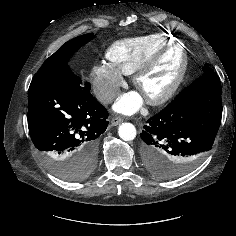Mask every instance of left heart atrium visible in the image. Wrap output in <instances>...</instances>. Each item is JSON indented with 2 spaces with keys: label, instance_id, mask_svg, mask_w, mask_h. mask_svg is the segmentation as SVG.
Segmentation results:
<instances>
[{
  "label": "left heart atrium",
  "instance_id": "obj_1",
  "mask_svg": "<svg viewBox=\"0 0 236 236\" xmlns=\"http://www.w3.org/2000/svg\"><path fill=\"white\" fill-rule=\"evenodd\" d=\"M142 104V97L136 92H130L121 96L114 109L123 114H132L136 112Z\"/></svg>",
  "mask_w": 236,
  "mask_h": 236
}]
</instances>
